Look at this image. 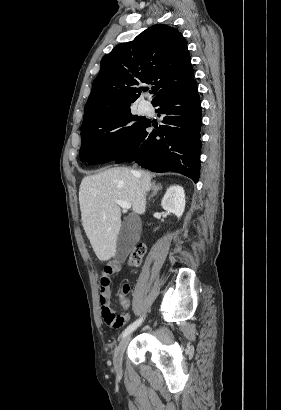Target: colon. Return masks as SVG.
Masks as SVG:
<instances>
[{
  "instance_id": "obj_1",
  "label": "colon",
  "mask_w": 281,
  "mask_h": 410,
  "mask_svg": "<svg viewBox=\"0 0 281 410\" xmlns=\"http://www.w3.org/2000/svg\"><path fill=\"white\" fill-rule=\"evenodd\" d=\"M146 253V246L143 243H139L134 247L128 257V264L133 267H138ZM119 296L122 299V303L126 305L125 295L129 292V286L122 284L118 287ZM104 320L109 327L119 328L122 324V317L117 315L112 309H106L103 313Z\"/></svg>"
}]
</instances>
